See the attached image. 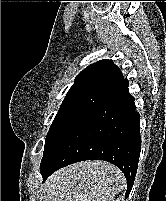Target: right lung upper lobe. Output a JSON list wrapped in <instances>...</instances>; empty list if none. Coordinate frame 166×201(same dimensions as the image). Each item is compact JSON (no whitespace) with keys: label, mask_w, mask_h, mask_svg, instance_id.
I'll list each match as a JSON object with an SVG mask.
<instances>
[{"label":"right lung upper lobe","mask_w":166,"mask_h":201,"mask_svg":"<svg viewBox=\"0 0 166 201\" xmlns=\"http://www.w3.org/2000/svg\"><path fill=\"white\" fill-rule=\"evenodd\" d=\"M123 80L118 66L111 60L98 61L78 74L64 101L91 96L106 97Z\"/></svg>","instance_id":"right-lung-upper-lobe-1"}]
</instances>
